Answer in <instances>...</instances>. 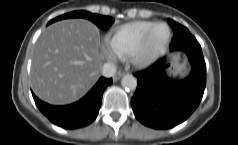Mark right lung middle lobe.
<instances>
[{"mask_svg": "<svg viewBox=\"0 0 238 145\" xmlns=\"http://www.w3.org/2000/svg\"><path fill=\"white\" fill-rule=\"evenodd\" d=\"M67 18H85V19L91 20L94 24H96L101 29L108 28L114 22V19L112 17L92 14L90 12L81 10V11H73V12L61 15L59 17H56L52 19L48 23V25L55 21H58L61 19H67Z\"/></svg>", "mask_w": 238, "mask_h": 145, "instance_id": "obj_1", "label": "right lung middle lobe"}]
</instances>
